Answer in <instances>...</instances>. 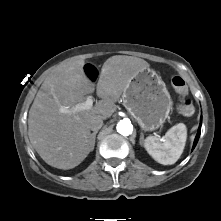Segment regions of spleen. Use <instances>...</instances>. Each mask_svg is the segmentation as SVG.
<instances>
[{"instance_id":"obj_1","label":"spleen","mask_w":221,"mask_h":221,"mask_svg":"<svg viewBox=\"0 0 221 221\" xmlns=\"http://www.w3.org/2000/svg\"><path fill=\"white\" fill-rule=\"evenodd\" d=\"M186 139V126L183 123H178L166 132L162 140L156 136H148L144 141V147L158 163L172 165L182 155Z\"/></svg>"}]
</instances>
